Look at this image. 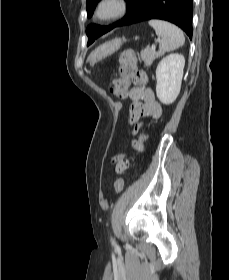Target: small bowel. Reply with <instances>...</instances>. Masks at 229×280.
<instances>
[{
	"instance_id": "1",
	"label": "small bowel",
	"mask_w": 229,
	"mask_h": 280,
	"mask_svg": "<svg viewBox=\"0 0 229 280\" xmlns=\"http://www.w3.org/2000/svg\"><path fill=\"white\" fill-rule=\"evenodd\" d=\"M117 82L114 83L111 93L120 99L130 98L133 101L131 108V118L138 119L140 117L158 118L162 114L159 103L155 100L152 91L145 85H137L130 89L129 83L125 88L117 90Z\"/></svg>"
}]
</instances>
